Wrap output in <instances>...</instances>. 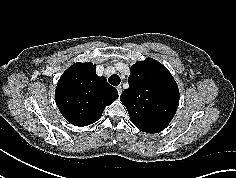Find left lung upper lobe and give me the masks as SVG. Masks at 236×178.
Segmentation results:
<instances>
[{
	"mask_svg": "<svg viewBox=\"0 0 236 178\" xmlns=\"http://www.w3.org/2000/svg\"><path fill=\"white\" fill-rule=\"evenodd\" d=\"M129 88L120 100L132 123L141 131L157 133L167 127L179 105L178 86L157 60L147 58L131 67Z\"/></svg>",
	"mask_w": 236,
	"mask_h": 178,
	"instance_id": "5c2ea615",
	"label": "left lung upper lobe"
}]
</instances>
